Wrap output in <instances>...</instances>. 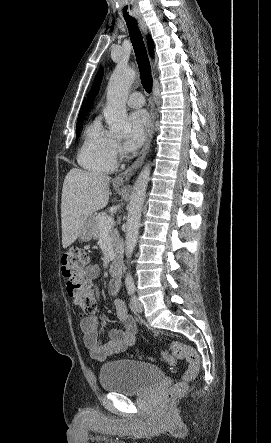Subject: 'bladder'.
Instances as JSON below:
<instances>
[{
  "mask_svg": "<svg viewBox=\"0 0 271 443\" xmlns=\"http://www.w3.org/2000/svg\"><path fill=\"white\" fill-rule=\"evenodd\" d=\"M163 371L152 364L118 359L103 364L99 370L102 388L111 393L132 395L144 392L163 380Z\"/></svg>",
  "mask_w": 271,
  "mask_h": 443,
  "instance_id": "bladder-1",
  "label": "bladder"
}]
</instances>
